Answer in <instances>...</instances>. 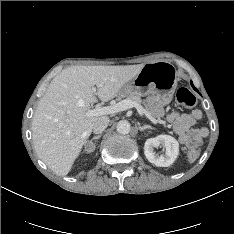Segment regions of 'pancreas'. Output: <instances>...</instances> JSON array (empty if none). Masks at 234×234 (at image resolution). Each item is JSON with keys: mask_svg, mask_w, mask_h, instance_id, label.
<instances>
[{"mask_svg": "<svg viewBox=\"0 0 234 234\" xmlns=\"http://www.w3.org/2000/svg\"><path fill=\"white\" fill-rule=\"evenodd\" d=\"M119 98H121V96ZM126 100H131V101L136 102L140 105L143 104L146 107V110H149V108L147 107L146 100H142L141 97L138 95H129L126 97Z\"/></svg>", "mask_w": 234, "mask_h": 234, "instance_id": "obj_1", "label": "pancreas"}]
</instances>
